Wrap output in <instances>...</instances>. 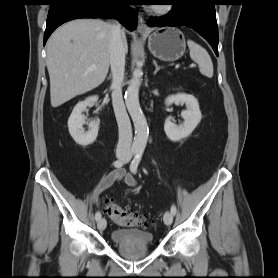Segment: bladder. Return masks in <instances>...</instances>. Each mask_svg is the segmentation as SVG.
I'll use <instances>...</instances> for the list:
<instances>
[{"instance_id":"obj_1","label":"bladder","mask_w":278,"mask_h":278,"mask_svg":"<svg viewBox=\"0 0 278 278\" xmlns=\"http://www.w3.org/2000/svg\"><path fill=\"white\" fill-rule=\"evenodd\" d=\"M111 240L115 245L126 247H146L152 244L154 235L146 230L116 229L111 233Z\"/></svg>"}]
</instances>
